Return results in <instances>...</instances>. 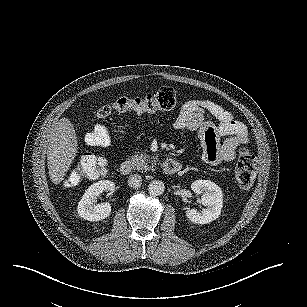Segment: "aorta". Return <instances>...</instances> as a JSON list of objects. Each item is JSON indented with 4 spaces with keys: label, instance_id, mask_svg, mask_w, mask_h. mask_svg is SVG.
<instances>
[{
    "label": "aorta",
    "instance_id": "obj_1",
    "mask_svg": "<svg viewBox=\"0 0 307 307\" xmlns=\"http://www.w3.org/2000/svg\"><path fill=\"white\" fill-rule=\"evenodd\" d=\"M149 192L152 196H160L164 193L165 191V184L161 180H153L149 184Z\"/></svg>",
    "mask_w": 307,
    "mask_h": 307
}]
</instances>
